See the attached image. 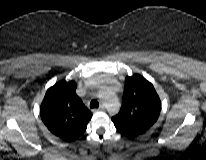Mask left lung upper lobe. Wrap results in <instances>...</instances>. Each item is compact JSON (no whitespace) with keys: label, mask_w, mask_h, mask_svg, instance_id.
I'll list each match as a JSON object with an SVG mask.
<instances>
[{"label":"left lung upper lobe","mask_w":206,"mask_h":160,"mask_svg":"<svg viewBox=\"0 0 206 160\" xmlns=\"http://www.w3.org/2000/svg\"><path fill=\"white\" fill-rule=\"evenodd\" d=\"M161 111L160 98L141 75L127 76L120 112L112 118L117 130L126 137H137L148 131Z\"/></svg>","instance_id":"1"}]
</instances>
